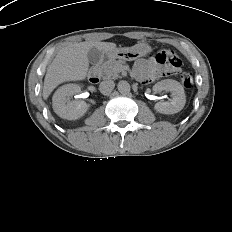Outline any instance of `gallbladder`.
<instances>
[{
    "label": "gallbladder",
    "mask_w": 232,
    "mask_h": 232,
    "mask_svg": "<svg viewBox=\"0 0 232 232\" xmlns=\"http://www.w3.org/2000/svg\"><path fill=\"white\" fill-rule=\"evenodd\" d=\"M88 60L91 64L96 65L100 62L102 53L95 47H92L87 53Z\"/></svg>",
    "instance_id": "1"
}]
</instances>
